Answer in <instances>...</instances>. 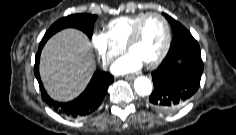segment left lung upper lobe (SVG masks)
<instances>
[{"label": "left lung upper lobe", "mask_w": 236, "mask_h": 135, "mask_svg": "<svg viewBox=\"0 0 236 135\" xmlns=\"http://www.w3.org/2000/svg\"><path fill=\"white\" fill-rule=\"evenodd\" d=\"M164 16L167 18L168 21H170L171 19H173V18H171L170 16H168L167 14H164ZM190 35H191V34H190Z\"/></svg>", "instance_id": "obj_1"}]
</instances>
